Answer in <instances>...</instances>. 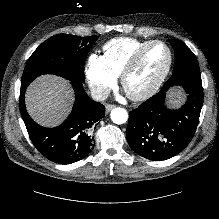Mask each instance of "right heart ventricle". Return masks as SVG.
I'll return each instance as SVG.
<instances>
[{
    "label": "right heart ventricle",
    "instance_id": "right-heart-ventricle-1",
    "mask_svg": "<svg viewBox=\"0 0 219 219\" xmlns=\"http://www.w3.org/2000/svg\"><path fill=\"white\" fill-rule=\"evenodd\" d=\"M150 41L132 37H117L103 45V58L108 68L119 75L130 57Z\"/></svg>",
    "mask_w": 219,
    "mask_h": 219
}]
</instances>
